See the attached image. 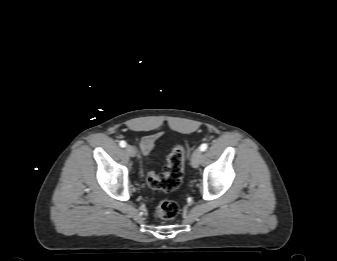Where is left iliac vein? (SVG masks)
Returning <instances> with one entry per match:
<instances>
[{"mask_svg": "<svg viewBox=\"0 0 337 261\" xmlns=\"http://www.w3.org/2000/svg\"><path fill=\"white\" fill-rule=\"evenodd\" d=\"M202 158V151L200 149H196L191 156V165L194 168H197L200 164Z\"/></svg>", "mask_w": 337, "mask_h": 261, "instance_id": "1", "label": "left iliac vein"}]
</instances>
